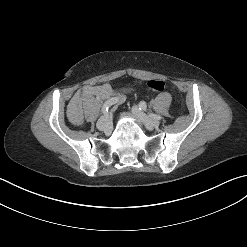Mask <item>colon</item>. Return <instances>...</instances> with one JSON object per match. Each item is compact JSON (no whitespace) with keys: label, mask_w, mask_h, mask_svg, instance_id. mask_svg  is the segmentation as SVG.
I'll use <instances>...</instances> for the list:
<instances>
[{"label":"colon","mask_w":247,"mask_h":247,"mask_svg":"<svg viewBox=\"0 0 247 247\" xmlns=\"http://www.w3.org/2000/svg\"><path fill=\"white\" fill-rule=\"evenodd\" d=\"M148 89L153 92L163 91L166 87V84L161 80H151L147 84Z\"/></svg>","instance_id":"obj_1"}]
</instances>
